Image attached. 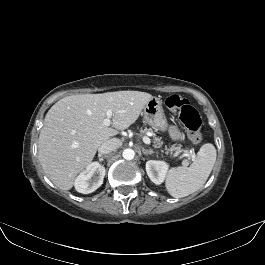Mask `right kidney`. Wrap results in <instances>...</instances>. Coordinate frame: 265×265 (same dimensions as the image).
<instances>
[{"instance_id":"obj_1","label":"right kidney","mask_w":265,"mask_h":265,"mask_svg":"<svg viewBox=\"0 0 265 265\" xmlns=\"http://www.w3.org/2000/svg\"><path fill=\"white\" fill-rule=\"evenodd\" d=\"M105 168L98 162H93L86 167L75 180V189L83 194H89L97 190L103 183Z\"/></svg>"}]
</instances>
